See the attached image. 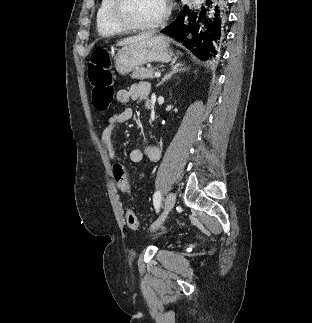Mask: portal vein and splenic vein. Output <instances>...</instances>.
I'll list each match as a JSON object with an SVG mask.
<instances>
[{"mask_svg": "<svg viewBox=\"0 0 312 323\" xmlns=\"http://www.w3.org/2000/svg\"><path fill=\"white\" fill-rule=\"evenodd\" d=\"M155 76H156V78H160V76H161L160 72H155Z\"/></svg>", "mask_w": 312, "mask_h": 323, "instance_id": "portal-vein-and-splenic-vein-1", "label": "portal vein and splenic vein"}]
</instances>
